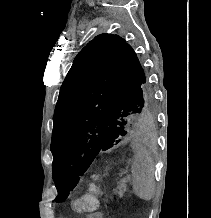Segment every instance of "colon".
<instances>
[{
	"label": "colon",
	"instance_id": "1",
	"mask_svg": "<svg viewBox=\"0 0 211 218\" xmlns=\"http://www.w3.org/2000/svg\"><path fill=\"white\" fill-rule=\"evenodd\" d=\"M97 188L94 186L92 188V192L87 194L84 197H81L77 199L74 202V208L78 211H87V210H92L96 207V193H97Z\"/></svg>",
	"mask_w": 211,
	"mask_h": 218
}]
</instances>
